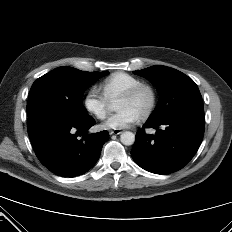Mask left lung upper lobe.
Masks as SVG:
<instances>
[{"mask_svg": "<svg viewBox=\"0 0 232 232\" xmlns=\"http://www.w3.org/2000/svg\"><path fill=\"white\" fill-rule=\"evenodd\" d=\"M134 74L149 79L161 97L149 119L155 120L183 105L201 101L196 83L184 73L166 66H151Z\"/></svg>", "mask_w": 232, "mask_h": 232, "instance_id": "5c2ea615", "label": "left lung upper lobe"}]
</instances>
